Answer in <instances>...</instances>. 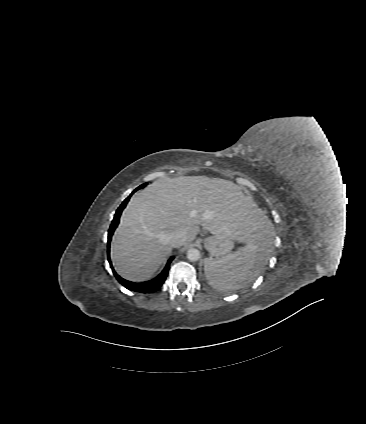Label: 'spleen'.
I'll list each match as a JSON object with an SVG mask.
<instances>
[{
  "mask_svg": "<svg viewBox=\"0 0 366 424\" xmlns=\"http://www.w3.org/2000/svg\"><path fill=\"white\" fill-rule=\"evenodd\" d=\"M264 249L251 241L246 246L221 258H207L204 271L208 283L220 291L242 288L255 278L254 269L263 257Z\"/></svg>",
  "mask_w": 366,
  "mask_h": 424,
  "instance_id": "spleen-1",
  "label": "spleen"
}]
</instances>
